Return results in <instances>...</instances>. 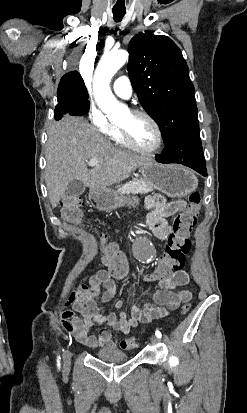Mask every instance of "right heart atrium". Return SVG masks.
<instances>
[{"label":"right heart atrium","mask_w":247,"mask_h":413,"mask_svg":"<svg viewBox=\"0 0 247 413\" xmlns=\"http://www.w3.org/2000/svg\"><path fill=\"white\" fill-rule=\"evenodd\" d=\"M88 117L93 119L94 126L97 133H110L117 127L111 125L106 119V116L103 115L102 107L100 105H91L88 112Z\"/></svg>","instance_id":"d8ad5b80"}]
</instances>
